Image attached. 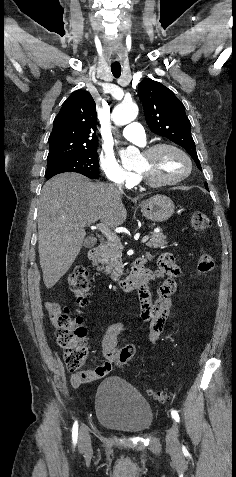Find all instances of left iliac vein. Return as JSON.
Instances as JSON below:
<instances>
[{"label":"left iliac vein","instance_id":"left-iliac-vein-1","mask_svg":"<svg viewBox=\"0 0 236 477\" xmlns=\"http://www.w3.org/2000/svg\"><path fill=\"white\" fill-rule=\"evenodd\" d=\"M166 444H167V447L171 450L178 449L180 445L178 440V426L175 422L171 425V427L167 431Z\"/></svg>","mask_w":236,"mask_h":477}]
</instances>
